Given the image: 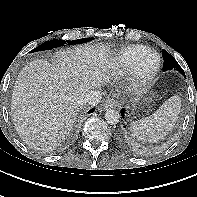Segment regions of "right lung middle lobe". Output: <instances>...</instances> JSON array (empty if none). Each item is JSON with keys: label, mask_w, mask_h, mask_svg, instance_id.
<instances>
[{"label": "right lung middle lobe", "mask_w": 197, "mask_h": 197, "mask_svg": "<svg viewBox=\"0 0 197 197\" xmlns=\"http://www.w3.org/2000/svg\"><path fill=\"white\" fill-rule=\"evenodd\" d=\"M93 38H83V39H78V40H72V41H65V40H51L48 42H45L43 44H41L40 46L36 47L34 50H32L31 52H37V51H41V50H50L53 49L55 47H59V46H63L64 44H81V43H85L88 41H91Z\"/></svg>", "instance_id": "dd1d6c3e"}]
</instances>
